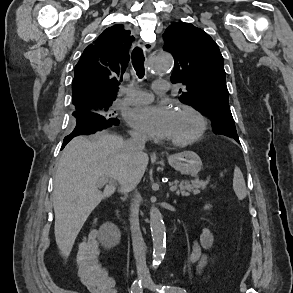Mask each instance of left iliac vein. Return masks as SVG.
I'll return each instance as SVG.
<instances>
[{"instance_id": "left-iliac-vein-1", "label": "left iliac vein", "mask_w": 293, "mask_h": 293, "mask_svg": "<svg viewBox=\"0 0 293 293\" xmlns=\"http://www.w3.org/2000/svg\"><path fill=\"white\" fill-rule=\"evenodd\" d=\"M143 285L151 290L153 293H156V286L154 285L153 281L151 280L149 275H146L143 280Z\"/></svg>"}]
</instances>
